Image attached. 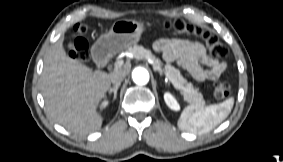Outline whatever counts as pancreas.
<instances>
[{
  "label": "pancreas",
  "instance_id": "pancreas-1",
  "mask_svg": "<svg viewBox=\"0 0 283 162\" xmlns=\"http://www.w3.org/2000/svg\"><path fill=\"white\" fill-rule=\"evenodd\" d=\"M136 59H151L153 67L157 71H163L165 74L172 78L178 85L182 87V93L185 98L192 104L197 106L204 105L202 94L193 87L191 83H187L186 79L180 74V71L171 64H164L159 58L152 54L150 50L145 49L143 46H134L129 49Z\"/></svg>",
  "mask_w": 283,
  "mask_h": 162
}]
</instances>
